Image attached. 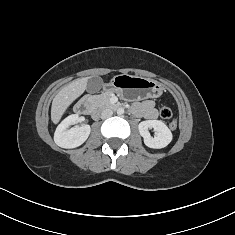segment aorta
I'll return each mask as SVG.
<instances>
[{
	"mask_svg": "<svg viewBox=\"0 0 235 235\" xmlns=\"http://www.w3.org/2000/svg\"><path fill=\"white\" fill-rule=\"evenodd\" d=\"M124 113V109L123 108H118L117 109V114L118 115H122Z\"/></svg>",
	"mask_w": 235,
	"mask_h": 235,
	"instance_id": "obj_1",
	"label": "aorta"
}]
</instances>
